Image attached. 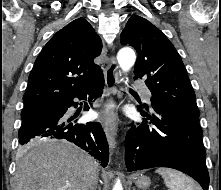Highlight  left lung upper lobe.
<instances>
[{"instance_id": "obj_1", "label": "left lung upper lobe", "mask_w": 221, "mask_h": 190, "mask_svg": "<svg viewBox=\"0 0 221 190\" xmlns=\"http://www.w3.org/2000/svg\"><path fill=\"white\" fill-rule=\"evenodd\" d=\"M121 44L133 46L138 53L134 79L145 80L152 93V108L199 121L195 93L181 57L158 28L133 15L121 33Z\"/></svg>"}]
</instances>
